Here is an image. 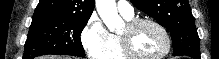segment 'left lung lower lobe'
Masks as SVG:
<instances>
[{"label": "left lung lower lobe", "instance_id": "obj_1", "mask_svg": "<svg viewBox=\"0 0 219 59\" xmlns=\"http://www.w3.org/2000/svg\"><path fill=\"white\" fill-rule=\"evenodd\" d=\"M187 56H190L194 59H201L200 54L199 55H187Z\"/></svg>", "mask_w": 219, "mask_h": 59}]
</instances>
